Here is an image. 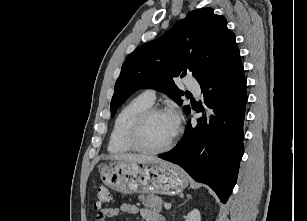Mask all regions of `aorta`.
<instances>
[{
  "label": "aorta",
  "mask_w": 307,
  "mask_h": 221,
  "mask_svg": "<svg viewBox=\"0 0 307 221\" xmlns=\"http://www.w3.org/2000/svg\"><path fill=\"white\" fill-rule=\"evenodd\" d=\"M213 114V111L212 110H209L208 112H207V123H209V119H210V116Z\"/></svg>",
  "instance_id": "obj_1"
}]
</instances>
